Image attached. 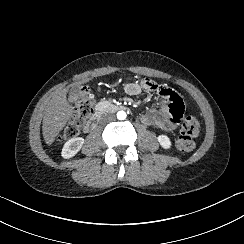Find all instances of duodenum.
<instances>
[{"label": "duodenum", "instance_id": "410a0bca", "mask_svg": "<svg viewBox=\"0 0 244 244\" xmlns=\"http://www.w3.org/2000/svg\"><path fill=\"white\" fill-rule=\"evenodd\" d=\"M103 108H104V107H101V108H99V109L96 111V113H95V115H94V118H97L99 115H101ZM125 108H126V106H125L124 104H119V103H118V104H115V105L113 106V109H114L115 111L124 110ZM94 126H95V122H94V120L92 119V120L87 124L86 128H87L89 131H91V130H93Z\"/></svg>", "mask_w": 244, "mask_h": 244}]
</instances>
